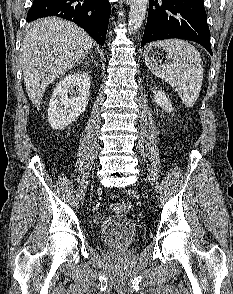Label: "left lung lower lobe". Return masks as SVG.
Instances as JSON below:
<instances>
[{
	"mask_svg": "<svg viewBox=\"0 0 233 294\" xmlns=\"http://www.w3.org/2000/svg\"><path fill=\"white\" fill-rule=\"evenodd\" d=\"M168 38L191 40L212 55L203 0H151L141 47Z\"/></svg>",
	"mask_w": 233,
	"mask_h": 294,
	"instance_id": "1",
	"label": "left lung lower lobe"
}]
</instances>
